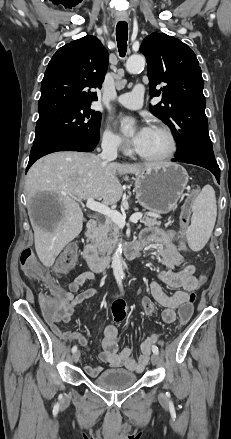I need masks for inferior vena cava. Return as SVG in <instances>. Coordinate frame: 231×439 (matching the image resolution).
I'll list each match as a JSON object with an SVG mask.
<instances>
[{"label": "inferior vena cava", "instance_id": "1", "mask_svg": "<svg viewBox=\"0 0 231 439\" xmlns=\"http://www.w3.org/2000/svg\"><path fill=\"white\" fill-rule=\"evenodd\" d=\"M117 146L118 144L115 141H103L102 142V153L100 154V158L104 161H112L117 158Z\"/></svg>", "mask_w": 231, "mask_h": 439}]
</instances>
